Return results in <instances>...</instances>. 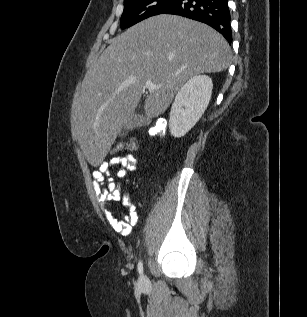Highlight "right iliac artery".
<instances>
[{
    "label": "right iliac artery",
    "mask_w": 307,
    "mask_h": 317,
    "mask_svg": "<svg viewBox=\"0 0 307 317\" xmlns=\"http://www.w3.org/2000/svg\"><path fill=\"white\" fill-rule=\"evenodd\" d=\"M137 267H138L139 274L140 275L143 274V263H142L141 260L138 262V266Z\"/></svg>",
    "instance_id": "82829eb1"
}]
</instances>
